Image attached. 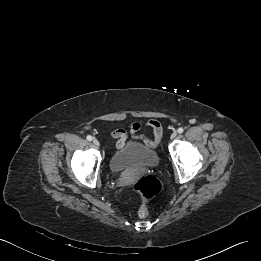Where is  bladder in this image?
I'll use <instances>...</instances> for the list:
<instances>
[{
    "mask_svg": "<svg viewBox=\"0 0 261 261\" xmlns=\"http://www.w3.org/2000/svg\"><path fill=\"white\" fill-rule=\"evenodd\" d=\"M158 155L156 150L140 142H128L117 149L109 160V167L113 172L129 169H144L156 166Z\"/></svg>",
    "mask_w": 261,
    "mask_h": 261,
    "instance_id": "obj_1",
    "label": "bladder"
}]
</instances>
